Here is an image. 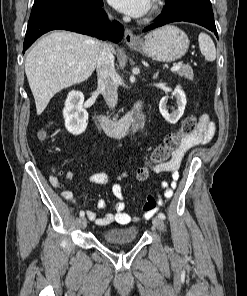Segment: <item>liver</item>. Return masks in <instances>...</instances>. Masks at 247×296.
<instances>
[{
    "mask_svg": "<svg viewBox=\"0 0 247 296\" xmlns=\"http://www.w3.org/2000/svg\"><path fill=\"white\" fill-rule=\"evenodd\" d=\"M100 48L99 40L68 31H53L36 43L26 56L25 73L37 115L56 93L92 75Z\"/></svg>",
    "mask_w": 247,
    "mask_h": 296,
    "instance_id": "liver-1",
    "label": "liver"
}]
</instances>
